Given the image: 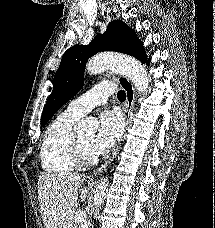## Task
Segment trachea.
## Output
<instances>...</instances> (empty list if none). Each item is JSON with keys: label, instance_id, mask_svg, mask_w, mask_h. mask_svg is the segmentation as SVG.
Listing matches in <instances>:
<instances>
[{"label": "trachea", "instance_id": "1", "mask_svg": "<svg viewBox=\"0 0 215 228\" xmlns=\"http://www.w3.org/2000/svg\"><path fill=\"white\" fill-rule=\"evenodd\" d=\"M117 97L120 101H125L126 99V94L124 91L120 90L118 93H117Z\"/></svg>", "mask_w": 215, "mask_h": 228}]
</instances>
